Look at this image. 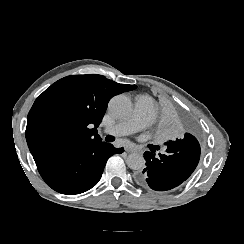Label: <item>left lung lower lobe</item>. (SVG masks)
<instances>
[{"label": "left lung lower lobe", "instance_id": "obj_1", "mask_svg": "<svg viewBox=\"0 0 244 244\" xmlns=\"http://www.w3.org/2000/svg\"><path fill=\"white\" fill-rule=\"evenodd\" d=\"M180 139L166 143V154L155 155L146 151V168L136 173V181L142 187L166 191L179 186L193 173L200 159V144L192 126Z\"/></svg>", "mask_w": 244, "mask_h": 244}]
</instances>
